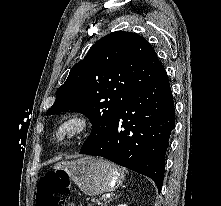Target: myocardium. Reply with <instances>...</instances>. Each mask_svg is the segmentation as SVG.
<instances>
[{
  "label": "myocardium",
  "mask_w": 221,
  "mask_h": 206,
  "mask_svg": "<svg viewBox=\"0 0 221 206\" xmlns=\"http://www.w3.org/2000/svg\"><path fill=\"white\" fill-rule=\"evenodd\" d=\"M87 119L78 113H70L61 117L52 130L56 143L66 144L81 138L87 131Z\"/></svg>",
  "instance_id": "obj_1"
}]
</instances>
